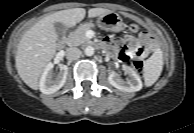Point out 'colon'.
Segmentation results:
<instances>
[{"label":"colon","mask_w":194,"mask_h":133,"mask_svg":"<svg viewBox=\"0 0 194 133\" xmlns=\"http://www.w3.org/2000/svg\"><path fill=\"white\" fill-rule=\"evenodd\" d=\"M129 27H130L131 31H133V32H137L139 30V26L134 22H130ZM141 58H142V56L140 53H136L132 57L133 66L138 73H142V71H143V61Z\"/></svg>","instance_id":"colon-1"}]
</instances>
